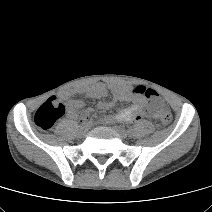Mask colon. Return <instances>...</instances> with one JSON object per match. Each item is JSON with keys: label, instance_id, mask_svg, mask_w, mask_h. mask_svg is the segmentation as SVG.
Returning a JSON list of instances; mask_svg holds the SVG:
<instances>
[{"label": "colon", "instance_id": "1", "mask_svg": "<svg viewBox=\"0 0 212 212\" xmlns=\"http://www.w3.org/2000/svg\"><path fill=\"white\" fill-rule=\"evenodd\" d=\"M132 93L143 95L149 99L155 106L161 104L157 92L142 86L132 88ZM65 114V106L57 98L51 97L43 103L34 114L35 125L43 131L51 129L55 123ZM173 117L168 111H164L161 120L164 124L171 123Z\"/></svg>", "mask_w": 212, "mask_h": 212}]
</instances>
